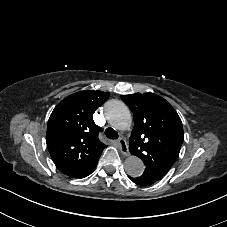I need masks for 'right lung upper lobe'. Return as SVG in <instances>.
<instances>
[{"instance_id":"cb5924a9","label":"right lung upper lobe","mask_w":227,"mask_h":227,"mask_svg":"<svg viewBox=\"0 0 227 227\" xmlns=\"http://www.w3.org/2000/svg\"><path fill=\"white\" fill-rule=\"evenodd\" d=\"M108 92L84 90L63 99L50 115L46 142L51 158L63 173L82 176L106 147L93 113L109 97Z\"/></svg>"}]
</instances>
